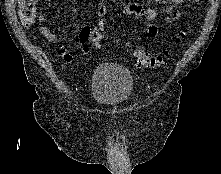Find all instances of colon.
Here are the masks:
<instances>
[{"mask_svg": "<svg viewBox=\"0 0 221 174\" xmlns=\"http://www.w3.org/2000/svg\"><path fill=\"white\" fill-rule=\"evenodd\" d=\"M40 0H17L19 5V17L23 25L31 26L38 17V4ZM104 34L100 27L84 28L80 33V39L84 43L83 51L90 52L88 42L98 47ZM181 36L177 37L179 40ZM131 54L136 58L137 63L145 68H157L166 64L168 53L150 54L142 45H133Z\"/></svg>", "mask_w": 221, "mask_h": 174, "instance_id": "colon-1", "label": "colon"}]
</instances>
